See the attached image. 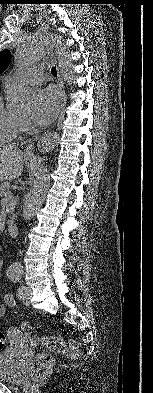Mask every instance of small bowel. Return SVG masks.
Listing matches in <instances>:
<instances>
[{
	"label": "small bowel",
	"instance_id": "small-bowel-1",
	"mask_svg": "<svg viewBox=\"0 0 153 393\" xmlns=\"http://www.w3.org/2000/svg\"><path fill=\"white\" fill-rule=\"evenodd\" d=\"M15 305V298L11 294H6L3 297V303L0 304V316H2L5 312V309L7 307H13ZM12 330H16L15 328H12ZM17 332V330H16Z\"/></svg>",
	"mask_w": 153,
	"mask_h": 393
}]
</instances>
